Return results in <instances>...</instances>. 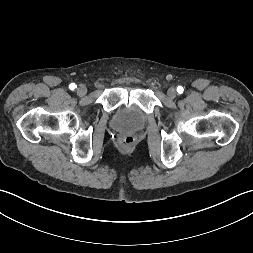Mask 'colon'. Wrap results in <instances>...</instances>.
Wrapping results in <instances>:
<instances>
[{
	"mask_svg": "<svg viewBox=\"0 0 253 253\" xmlns=\"http://www.w3.org/2000/svg\"><path fill=\"white\" fill-rule=\"evenodd\" d=\"M122 145L126 148H129L133 145L134 143V138L131 137V136H127V137H124L121 141Z\"/></svg>",
	"mask_w": 253,
	"mask_h": 253,
	"instance_id": "colon-1",
	"label": "colon"
}]
</instances>
